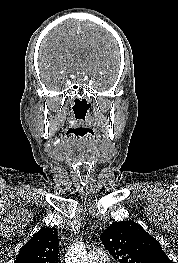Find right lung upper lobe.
<instances>
[{
  "label": "right lung upper lobe",
  "instance_id": "obj_1",
  "mask_svg": "<svg viewBox=\"0 0 178 263\" xmlns=\"http://www.w3.org/2000/svg\"><path fill=\"white\" fill-rule=\"evenodd\" d=\"M59 241L55 227H43L19 251L14 263H58Z\"/></svg>",
  "mask_w": 178,
  "mask_h": 263
}]
</instances>
